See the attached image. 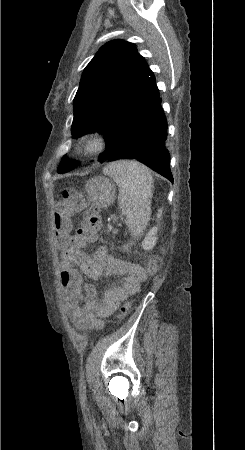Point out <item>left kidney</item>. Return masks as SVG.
<instances>
[{"label":"left kidney","instance_id":"1","mask_svg":"<svg viewBox=\"0 0 245 450\" xmlns=\"http://www.w3.org/2000/svg\"><path fill=\"white\" fill-rule=\"evenodd\" d=\"M161 215H162V209H159L157 217L160 218ZM157 231H158V228L157 227H153L146 234L144 240L142 241V245H141L144 250H151V249H153V247L155 246L156 241H157V236H156Z\"/></svg>","mask_w":245,"mask_h":450}]
</instances>
